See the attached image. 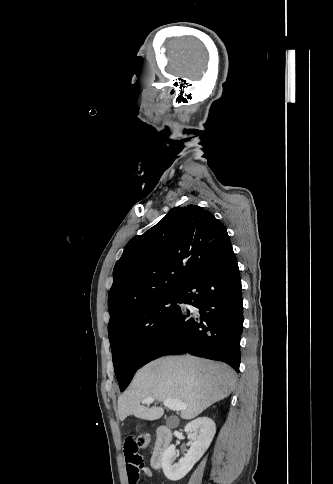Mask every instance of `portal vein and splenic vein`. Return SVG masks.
I'll use <instances>...</instances> for the list:
<instances>
[{
    "instance_id": "1",
    "label": "portal vein and splenic vein",
    "mask_w": 333,
    "mask_h": 484,
    "mask_svg": "<svg viewBox=\"0 0 333 484\" xmlns=\"http://www.w3.org/2000/svg\"><path fill=\"white\" fill-rule=\"evenodd\" d=\"M154 400L153 397H147L142 400V404L149 405L153 403ZM163 404L173 411H180L187 408V404L183 403L180 399H165Z\"/></svg>"
}]
</instances>
